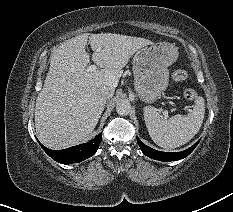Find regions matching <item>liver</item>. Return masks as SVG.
Wrapping results in <instances>:
<instances>
[{
  "instance_id": "obj_1",
  "label": "liver",
  "mask_w": 233,
  "mask_h": 212,
  "mask_svg": "<svg viewBox=\"0 0 233 212\" xmlns=\"http://www.w3.org/2000/svg\"><path fill=\"white\" fill-rule=\"evenodd\" d=\"M101 69L88 71L90 55ZM152 41L115 33L81 34L61 43L51 56L49 71L36 99L35 128L47 148L59 150L87 139L96 127L106 99L99 90L113 91L130 57Z\"/></svg>"
}]
</instances>
